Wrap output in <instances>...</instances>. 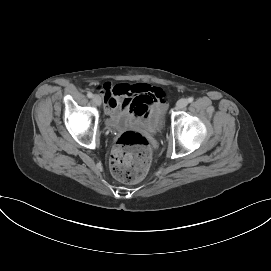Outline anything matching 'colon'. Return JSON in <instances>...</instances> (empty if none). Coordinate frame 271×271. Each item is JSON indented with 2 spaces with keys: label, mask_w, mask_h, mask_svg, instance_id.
<instances>
[{
  "label": "colon",
  "mask_w": 271,
  "mask_h": 271,
  "mask_svg": "<svg viewBox=\"0 0 271 271\" xmlns=\"http://www.w3.org/2000/svg\"><path fill=\"white\" fill-rule=\"evenodd\" d=\"M152 161L148 139L139 132L126 131L112 150L110 167L113 176L126 183H136L147 174Z\"/></svg>",
  "instance_id": "colon-1"
}]
</instances>
